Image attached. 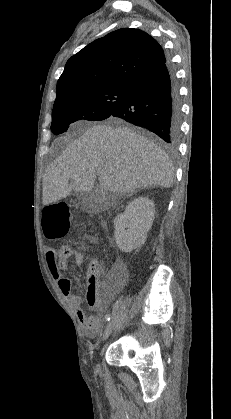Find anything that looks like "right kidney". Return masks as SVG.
<instances>
[{
	"mask_svg": "<svg viewBox=\"0 0 231 419\" xmlns=\"http://www.w3.org/2000/svg\"><path fill=\"white\" fill-rule=\"evenodd\" d=\"M154 216V202L147 197L129 202L125 211L114 219V238L121 251L131 252L144 244Z\"/></svg>",
	"mask_w": 231,
	"mask_h": 419,
	"instance_id": "1",
	"label": "right kidney"
}]
</instances>
